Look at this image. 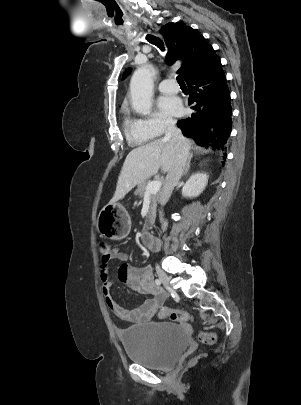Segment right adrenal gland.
<instances>
[{
    "mask_svg": "<svg viewBox=\"0 0 301 405\" xmlns=\"http://www.w3.org/2000/svg\"><path fill=\"white\" fill-rule=\"evenodd\" d=\"M191 158H192V154L190 155V157H189V159H188V162H187V164H186L185 170H184V172H183V176L187 175V173H188V171H189V169H190Z\"/></svg>",
    "mask_w": 301,
    "mask_h": 405,
    "instance_id": "2a0ac1e0",
    "label": "right adrenal gland"
}]
</instances>
